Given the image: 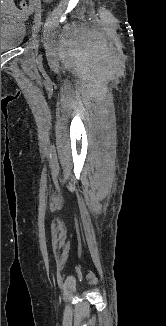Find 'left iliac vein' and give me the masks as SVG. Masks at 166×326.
Returning a JSON list of instances; mask_svg holds the SVG:
<instances>
[{"instance_id":"obj_1","label":"left iliac vein","mask_w":166,"mask_h":326,"mask_svg":"<svg viewBox=\"0 0 166 326\" xmlns=\"http://www.w3.org/2000/svg\"><path fill=\"white\" fill-rule=\"evenodd\" d=\"M32 43L34 46V49L37 51L39 46V37H38V29L36 25H33L32 27Z\"/></svg>"}]
</instances>
